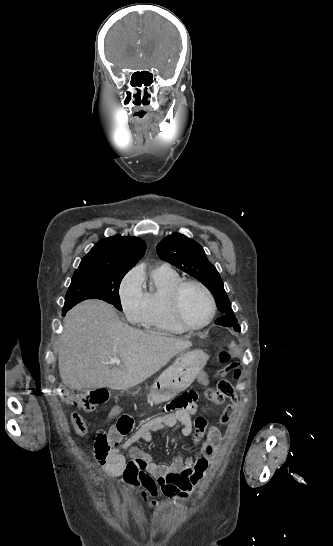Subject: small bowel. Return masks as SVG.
Instances as JSON below:
<instances>
[{"label": "small bowel", "mask_w": 333, "mask_h": 546, "mask_svg": "<svg viewBox=\"0 0 333 546\" xmlns=\"http://www.w3.org/2000/svg\"><path fill=\"white\" fill-rule=\"evenodd\" d=\"M196 374L197 380L201 381V386L207 387L208 371L200 370ZM224 407L221 410L223 415L219 417L220 421L217 423L220 427H225L227 422L231 420L235 405L227 403ZM121 410V407L113 406L108 424L120 415ZM167 410L171 412L145 421L124 441H122L123 437H120L117 445L110 450L109 455L98 462L108 476L122 475V484L142 486L143 497L162 493L169 498L187 499L188 495L197 488L206 469L215 464L223 444V438L219 429L213 424L207 431V441L195 458L177 456L169 465L157 464L152 461L149 454L137 449L138 442H149L152 439L151 431L172 427L176 424L182 425L183 436H189L193 430L191 415L194 407L174 408L168 406ZM120 418L129 421L131 431L132 419L127 415ZM123 449L130 450L129 459L122 454L121 450Z\"/></svg>", "instance_id": "small-bowel-1"}]
</instances>
